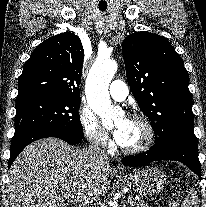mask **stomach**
I'll use <instances>...</instances> for the list:
<instances>
[{"instance_id":"0dacf381","label":"stomach","mask_w":206,"mask_h":207,"mask_svg":"<svg viewBox=\"0 0 206 207\" xmlns=\"http://www.w3.org/2000/svg\"><path fill=\"white\" fill-rule=\"evenodd\" d=\"M120 181L135 192L144 196L158 194L166 185V176L160 170L147 167L134 170L120 177Z\"/></svg>"}]
</instances>
